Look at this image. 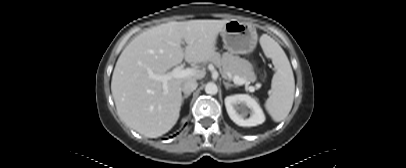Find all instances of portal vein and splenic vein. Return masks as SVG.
Here are the masks:
<instances>
[{"instance_id": "portal-vein-and-splenic-vein-1", "label": "portal vein and splenic vein", "mask_w": 406, "mask_h": 168, "mask_svg": "<svg viewBox=\"0 0 406 168\" xmlns=\"http://www.w3.org/2000/svg\"><path fill=\"white\" fill-rule=\"evenodd\" d=\"M193 74H194V69H191V68L184 69L183 65H181V66L174 68L171 72H169L167 74L158 75V74L150 73V78L157 80V81H161L163 84V89L165 91H167V82L169 80H171L172 78H185V77H187L189 75H193ZM233 82L238 85H243V84L247 83L243 78H241L239 76H234ZM249 91L254 92L255 87L250 86Z\"/></svg>"}]
</instances>
